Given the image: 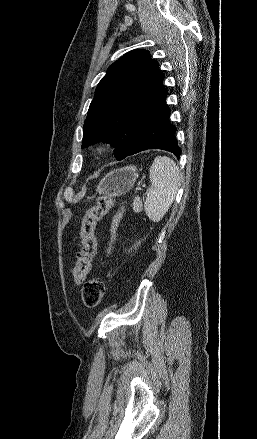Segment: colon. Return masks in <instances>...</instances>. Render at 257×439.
Segmentation results:
<instances>
[{
  "instance_id": "1",
  "label": "colon",
  "mask_w": 257,
  "mask_h": 439,
  "mask_svg": "<svg viewBox=\"0 0 257 439\" xmlns=\"http://www.w3.org/2000/svg\"><path fill=\"white\" fill-rule=\"evenodd\" d=\"M117 202L120 203L112 220V240L107 251L108 256L112 251V245L115 241L119 225L126 212L125 204L113 197L101 196L96 200L93 206L86 210L81 221L80 235L82 246L77 253V260L73 269V279L76 284H81L85 280L95 256L97 247L95 236L96 224ZM104 293L105 283L103 278L101 276L93 277L88 280L82 288V301L87 308L93 309L100 304Z\"/></svg>"
}]
</instances>
